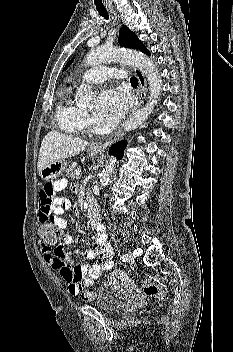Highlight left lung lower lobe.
Segmentation results:
<instances>
[{
    "label": "left lung lower lobe",
    "instance_id": "0a47b994",
    "mask_svg": "<svg viewBox=\"0 0 233 352\" xmlns=\"http://www.w3.org/2000/svg\"><path fill=\"white\" fill-rule=\"evenodd\" d=\"M125 147H126V141H125V140L120 141V142H117L115 145H113V146L110 148V155H114V156H116L118 159H121Z\"/></svg>",
    "mask_w": 233,
    "mask_h": 352
}]
</instances>
